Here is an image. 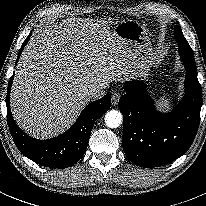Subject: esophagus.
<instances>
[{
    "label": "esophagus",
    "instance_id": "obj_1",
    "mask_svg": "<svg viewBox=\"0 0 206 206\" xmlns=\"http://www.w3.org/2000/svg\"><path fill=\"white\" fill-rule=\"evenodd\" d=\"M120 97H121V95L119 92L115 91L112 93L111 103L113 106H116L118 104Z\"/></svg>",
    "mask_w": 206,
    "mask_h": 206
}]
</instances>
